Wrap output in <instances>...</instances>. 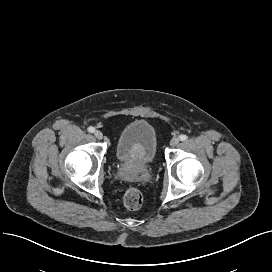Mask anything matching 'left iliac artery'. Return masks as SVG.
Returning a JSON list of instances; mask_svg holds the SVG:
<instances>
[{
    "instance_id": "44dca946",
    "label": "left iliac artery",
    "mask_w": 272,
    "mask_h": 272,
    "mask_svg": "<svg viewBox=\"0 0 272 272\" xmlns=\"http://www.w3.org/2000/svg\"><path fill=\"white\" fill-rule=\"evenodd\" d=\"M179 138H180L181 141H185L187 139V136L186 135H180Z\"/></svg>"
}]
</instances>
